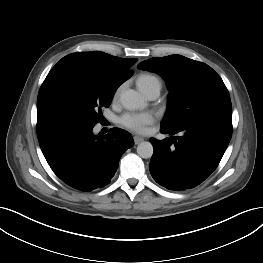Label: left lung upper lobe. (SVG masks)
<instances>
[{
  "mask_svg": "<svg viewBox=\"0 0 263 263\" xmlns=\"http://www.w3.org/2000/svg\"><path fill=\"white\" fill-rule=\"evenodd\" d=\"M139 69L161 75L168 86V109L161 126L174 129L218 117L232 121L229 92L220 76L208 65L181 55L150 58Z\"/></svg>",
  "mask_w": 263,
  "mask_h": 263,
  "instance_id": "obj_1",
  "label": "left lung upper lobe"
}]
</instances>
